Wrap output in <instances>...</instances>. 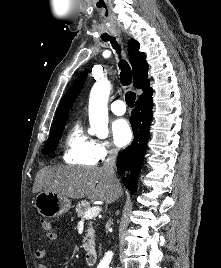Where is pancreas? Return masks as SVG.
Returning <instances> with one entry per match:
<instances>
[{"label":"pancreas","mask_w":221,"mask_h":268,"mask_svg":"<svg viewBox=\"0 0 221 268\" xmlns=\"http://www.w3.org/2000/svg\"><path fill=\"white\" fill-rule=\"evenodd\" d=\"M90 208V203L86 200H83L78 203L76 206V213L79 218L85 219L84 218V213ZM93 221H90L88 224V230L86 237L83 239V247L85 250H90L91 248L94 247V229L92 227Z\"/></svg>","instance_id":"cf45deb5"}]
</instances>
